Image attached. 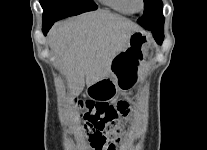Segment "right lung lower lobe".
Here are the masks:
<instances>
[{
    "mask_svg": "<svg viewBox=\"0 0 207 150\" xmlns=\"http://www.w3.org/2000/svg\"><path fill=\"white\" fill-rule=\"evenodd\" d=\"M54 22H55V21H50V22H44V23H43V28H42V30H43L44 35L47 34V32L49 31V29L51 28V26L54 24Z\"/></svg>",
    "mask_w": 207,
    "mask_h": 150,
    "instance_id": "right-lung-lower-lobe-1",
    "label": "right lung lower lobe"
}]
</instances>
